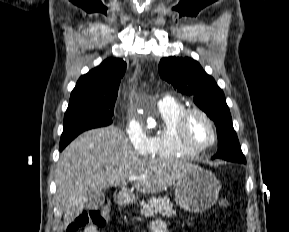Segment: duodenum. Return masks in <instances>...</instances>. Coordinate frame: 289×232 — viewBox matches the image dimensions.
Here are the masks:
<instances>
[{"instance_id": "duodenum-1", "label": "duodenum", "mask_w": 289, "mask_h": 232, "mask_svg": "<svg viewBox=\"0 0 289 232\" xmlns=\"http://www.w3.org/2000/svg\"><path fill=\"white\" fill-rule=\"evenodd\" d=\"M115 197L119 205H126L130 202V196L124 190H118L115 194Z\"/></svg>"}]
</instances>
